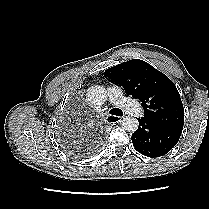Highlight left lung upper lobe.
<instances>
[{
    "label": "left lung upper lobe",
    "mask_w": 209,
    "mask_h": 209,
    "mask_svg": "<svg viewBox=\"0 0 209 209\" xmlns=\"http://www.w3.org/2000/svg\"><path fill=\"white\" fill-rule=\"evenodd\" d=\"M127 96L141 101L144 119L160 127L182 131L184 108L174 83L145 61L133 59L105 70Z\"/></svg>",
    "instance_id": "obj_1"
}]
</instances>
